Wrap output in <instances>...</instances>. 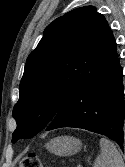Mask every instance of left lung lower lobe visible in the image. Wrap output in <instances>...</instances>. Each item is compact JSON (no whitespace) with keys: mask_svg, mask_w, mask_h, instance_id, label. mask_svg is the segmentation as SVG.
Returning <instances> with one entry per match:
<instances>
[{"mask_svg":"<svg viewBox=\"0 0 125 167\" xmlns=\"http://www.w3.org/2000/svg\"><path fill=\"white\" fill-rule=\"evenodd\" d=\"M122 72L113 32L109 30L88 75L45 130L82 128L105 135L122 148L125 116Z\"/></svg>","mask_w":125,"mask_h":167,"instance_id":"obj_1","label":"left lung lower lobe"}]
</instances>
